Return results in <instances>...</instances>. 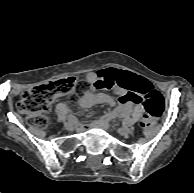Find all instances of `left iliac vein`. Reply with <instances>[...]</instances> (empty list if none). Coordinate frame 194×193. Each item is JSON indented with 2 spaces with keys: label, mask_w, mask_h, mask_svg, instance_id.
<instances>
[{
  "label": "left iliac vein",
  "mask_w": 194,
  "mask_h": 193,
  "mask_svg": "<svg viewBox=\"0 0 194 193\" xmlns=\"http://www.w3.org/2000/svg\"><path fill=\"white\" fill-rule=\"evenodd\" d=\"M93 126H95V125H93ZM117 132H118L120 135H122V136H127V135H129V134L132 132V129L129 128V127L124 126V127L119 128V129L117 130Z\"/></svg>",
  "instance_id": "4c4485c4"
}]
</instances>
